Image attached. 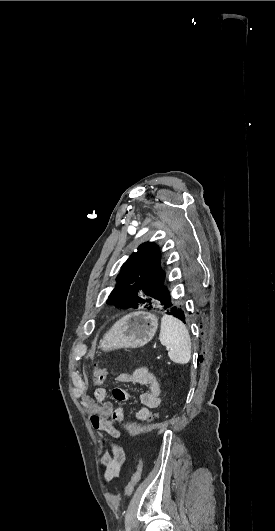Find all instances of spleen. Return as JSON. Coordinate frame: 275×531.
Segmentation results:
<instances>
[{
  "mask_svg": "<svg viewBox=\"0 0 275 531\" xmlns=\"http://www.w3.org/2000/svg\"><path fill=\"white\" fill-rule=\"evenodd\" d=\"M160 343L167 347L168 357L173 363L186 365L191 359V339L182 321L173 315H163L161 319Z\"/></svg>",
  "mask_w": 275,
  "mask_h": 531,
  "instance_id": "3e777b00",
  "label": "spleen"
}]
</instances>
